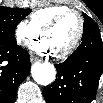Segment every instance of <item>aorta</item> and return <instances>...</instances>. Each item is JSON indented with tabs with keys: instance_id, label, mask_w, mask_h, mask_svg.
I'll use <instances>...</instances> for the list:
<instances>
[{
	"instance_id": "1",
	"label": "aorta",
	"mask_w": 103,
	"mask_h": 103,
	"mask_svg": "<svg viewBox=\"0 0 103 103\" xmlns=\"http://www.w3.org/2000/svg\"><path fill=\"white\" fill-rule=\"evenodd\" d=\"M31 74L35 82L40 85H49L55 80L56 70L50 63H35L31 68Z\"/></svg>"
}]
</instances>
